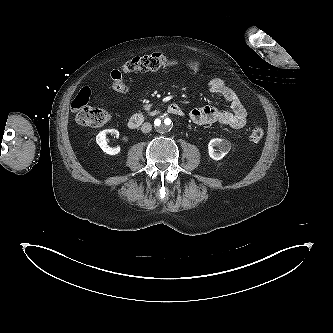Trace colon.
I'll return each mask as SVG.
<instances>
[{
    "label": "colon",
    "instance_id": "5ec220e1",
    "mask_svg": "<svg viewBox=\"0 0 333 333\" xmlns=\"http://www.w3.org/2000/svg\"><path fill=\"white\" fill-rule=\"evenodd\" d=\"M179 60L169 57L165 53L156 52L149 55L137 56L128 60L120 69L113 70L110 74L112 88L117 92H125L127 89L124 76L133 72H147L166 66L177 65ZM186 65L198 70L200 64L197 61H187ZM92 90L85 87L80 90L72 102V111L77 123L83 126H100L109 121L112 114L106 110L95 108L89 104ZM264 137L263 128L256 126L250 132V140L259 142Z\"/></svg>",
    "mask_w": 333,
    "mask_h": 333
}]
</instances>
